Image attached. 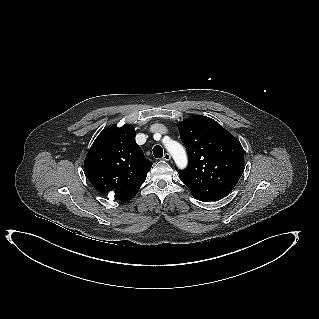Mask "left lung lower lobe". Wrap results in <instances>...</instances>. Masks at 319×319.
Returning <instances> with one entry per match:
<instances>
[{
    "label": "left lung lower lobe",
    "mask_w": 319,
    "mask_h": 319,
    "mask_svg": "<svg viewBox=\"0 0 319 319\" xmlns=\"http://www.w3.org/2000/svg\"><path fill=\"white\" fill-rule=\"evenodd\" d=\"M197 200H200V201H203V202H206L207 200H203V199H200V198H197L195 197Z\"/></svg>",
    "instance_id": "obj_1"
}]
</instances>
